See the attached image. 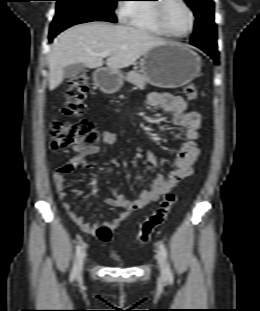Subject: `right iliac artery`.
Returning a JSON list of instances; mask_svg holds the SVG:
<instances>
[{"label": "right iliac artery", "mask_w": 260, "mask_h": 311, "mask_svg": "<svg viewBox=\"0 0 260 311\" xmlns=\"http://www.w3.org/2000/svg\"><path fill=\"white\" fill-rule=\"evenodd\" d=\"M81 249H82V245H81V242H80V243L76 246V249H75V260H74L73 268H72L71 275H70L71 281L74 280V278H75L76 275H77V260H78V258H79V256H80Z\"/></svg>", "instance_id": "82829eb1"}]
</instances>
